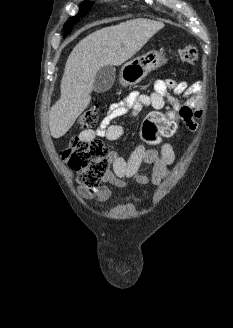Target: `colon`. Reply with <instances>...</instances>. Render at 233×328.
<instances>
[{
    "instance_id": "colon-1",
    "label": "colon",
    "mask_w": 233,
    "mask_h": 328,
    "mask_svg": "<svg viewBox=\"0 0 233 328\" xmlns=\"http://www.w3.org/2000/svg\"><path fill=\"white\" fill-rule=\"evenodd\" d=\"M178 57L185 64H194L198 60V50L194 45H187L178 50ZM100 108L90 104L78 118L80 127L91 130L98 122ZM180 116L173 111H154L146 116L141 128L142 140L148 145H159L163 138L176 135L181 125ZM63 162L78 173L79 184L89 191L100 187L109 169L108 152L99 140L73 138L61 151Z\"/></svg>"
}]
</instances>
